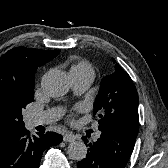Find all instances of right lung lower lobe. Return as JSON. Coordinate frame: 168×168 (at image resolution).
<instances>
[{"instance_id":"obj_1","label":"right lung lower lobe","mask_w":168,"mask_h":168,"mask_svg":"<svg viewBox=\"0 0 168 168\" xmlns=\"http://www.w3.org/2000/svg\"><path fill=\"white\" fill-rule=\"evenodd\" d=\"M61 141L54 132L30 136L25 127L18 129L0 144V168H39L44 150Z\"/></svg>"}]
</instances>
